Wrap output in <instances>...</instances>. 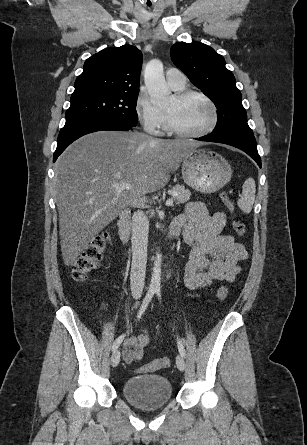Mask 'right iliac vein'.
I'll list each match as a JSON object with an SVG mask.
<instances>
[{
	"label": "right iliac vein",
	"mask_w": 307,
	"mask_h": 445,
	"mask_svg": "<svg viewBox=\"0 0 307 445\" xmlns=\"http://www.w3.org/2000/svg\"><path fill=\"white\" fill-rule=\"evenodd\" d=\"M120 362V351L115 350L111 356V365L112 367H116Z\"/></svg>",
	"instance_id": "obj_1"
}]
</instances>
